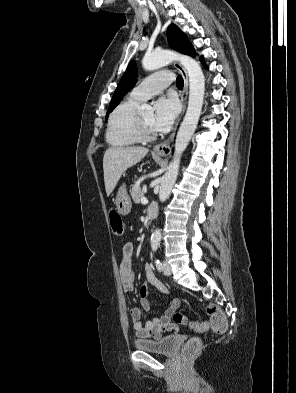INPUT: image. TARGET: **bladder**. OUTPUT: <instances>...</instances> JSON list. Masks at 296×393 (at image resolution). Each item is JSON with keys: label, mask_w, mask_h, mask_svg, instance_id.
I'll use <instances>...</instances> for the list:
<instances>
[{"label": "bladder", "mask_w": 296, "mask_h": 393, "mask_svg": "<svg viewBox=\"0 0 296 393\" xmlns=\"http://www.w3.org/2000/svg\"><path fill=\"white\" fill-rule=\"evenodd\" d=\"M136 349L160 355H171L177 347V337L166 335L159 338L137 339L134 343Z\"/></svg>", "instance_id": "1"}]
</instances>
